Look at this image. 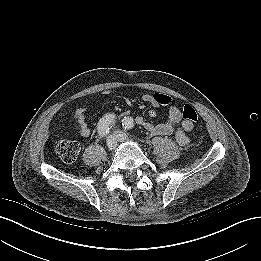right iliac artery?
Here are the masks:
<instances>
[{
  "instance_id": "1",
  "label": "right iliac artery",
  "mask_w": 261,
  "mask_h": 261,
  "mask_svg": "<svg viewBox=\"0 0 261 261\" xmlns=\"http://www.w3.org/2000/svg\"><path fill=\"white\" fill-rule=\"evenodd\" d=\"M115 123V115L113 114H106L102 119H100L97 130L100 137H104L109 133L110 128Z\"/></svg>"
}]
</instances>
